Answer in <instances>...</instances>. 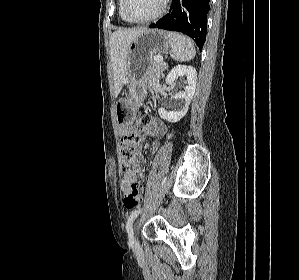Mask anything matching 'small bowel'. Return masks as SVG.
Wrapping results in <instances>:
<instances>
[{"instance_id":"1","label":"small bowel","mask_w":299,"mask_h":280,"mask_svg":"<svg viewBox=\"0 0 299 280\" xmlns=\"http://www.w3.org/2000/svg\"><path fill=\"white\" fill-rule=\"evenodd\" d=\"M146 128V133H142L141 136H137L138 141L135 147V153L132 160L131 167L128 169H123V178L121 181V188L126 193L130 190L133 183L142 179L144 174L142 172L141 163L144 161V156L142 154L141 142L148 137L164 136L166 134V127L162 121L156 118H150L149 124ZM131 131L130 127L123 128V135H129ZM160 144L158 142L154 143L152 146V152H158Z\"/></svg>"}]
</instances>
